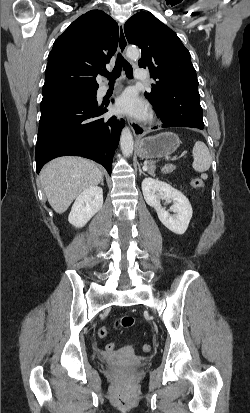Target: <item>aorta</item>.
I'll list each match as a JSON object with an SVG mask.
<instances>
[{"label":"aorta","mask_w":250,"mask_h":413,"mask_svg":"<svg viewBox=\"0 0 250 413\" xmlns=\"http://www.w3.org/2000/svg\"><path fill=\"white\" fill-rule=\"evenodd\" d=\"M126 55L131 60H137L140 56V51L136 47H128L126 51ZM133 146H134V141H133L132 133L128 127H124L121 133V138H120V147H121L122 153L126 156H130L133 153Z\"/></svg>","instance_id":"762f6f07"}]
</instances>
